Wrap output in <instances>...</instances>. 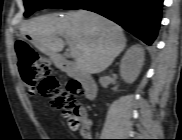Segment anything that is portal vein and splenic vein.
<instances>
[{
	"label": "portal vein and splenic vein",
	"instance_id": "1",
	"mask_svg": "<svg viewBox=\"0 0 182 140\" xmlns=\"http://www.w3.org/2000/svg\"><path fill=\"white\" fill-rule=\"evenodd\" d=\"M68 45H69V54L72 58H77L79 55V51L77 48L70 42L69 39H67Z\"/></svg>",
	"mask_w": 182,
	"mask_h": 140
}]
</instances>
